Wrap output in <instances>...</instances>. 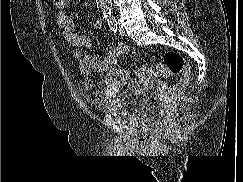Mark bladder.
Listing matches in <instances>:
<instances>
[{"instance_id": "obj_1", "label": "bladder", "mask_w": 243, "mask_h": 182, "mask_svg": "<svg viewBox=\"0 0 243 182\" xmlns=\"http://www.w3.org/2000/svg\"><path fill=\"white\" fill-rule=\"evenodd\" d=\"M96 111L105 114L139 115L146 107V99L140 94L127 97H114L93 102Z\"/></svg>"}]
</instances>
